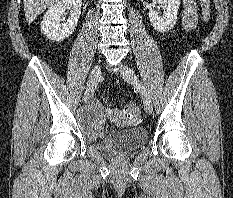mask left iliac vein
I'll use <instances>...</instances> for the list:
<instances>
[{
	"mask_svg": "<svg viewBox=\"0 0 233 198\" xmlns=\"http://www.w3.org/2000/svg\"><path fill=\"white\" fill-rule=\"evenodd\" d=\"M120 73L125 81L138 86L142 96L144 109L148 114H150L153 109L151 97L145 86H143V84L139 81L136 73L129 66L124 64L120 65Z\"/></svg>",
	"mask_w": 233,
	"mask_h": 198,
	"instance_id": "1",
	"label": "left iliac vein"
}]
</instances>
